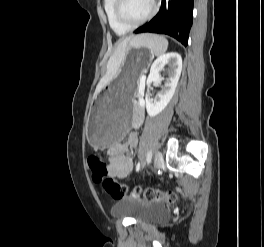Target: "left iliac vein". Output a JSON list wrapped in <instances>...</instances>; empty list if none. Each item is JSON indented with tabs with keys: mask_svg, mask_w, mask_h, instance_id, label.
<instances>
[{
	"mask_svg": "<svg viewBox=\"0 0 264 247\" xmlns=\"http://www.w3.org/2000/svg\"><path fill=\"white\" fill-rule=\"evenodd\" d=\"M164 164V160H163V155L161 152H157L155 157H154V162H153V165H154V169L157 170V169H160Z\"/></svg>",
	"mask_w": 264,
	"mask_h": 247,
	"instance_id": "4c4485c4",
	"label": "left iliac vein"
}]
</instances>
